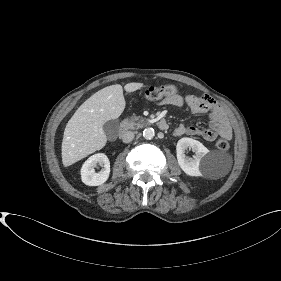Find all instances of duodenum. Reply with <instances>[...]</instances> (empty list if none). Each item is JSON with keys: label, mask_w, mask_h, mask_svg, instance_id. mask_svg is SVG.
<instances>
[{"label": "duodenum", "mask_w": 281, "mask_h": 281, "mask_svg": "<svg viewBox=\"0 0 281 281\" xmlns=\"http://www.w3.org/2000/svg\"><path fill=\"white\" fill-rule=\"evenodd\" d=\"M158 127L161 129V130H167L168 129V123L165 121V120H160L158 122ZM128 129V125L124 122L121 124L120 126V131L121 133H124L126 132Z\"/></svg>", "instance_id": "duodenum-1"}]
</instances>
